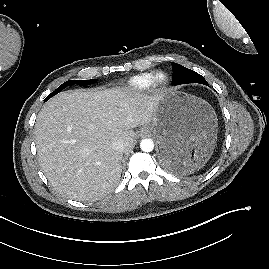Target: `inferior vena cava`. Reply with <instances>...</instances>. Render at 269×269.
Masks as SVG:
<instances>
[{
  "mask_svg": "<svg viewBox=\"0 0 269 269\" xmlns=\"http://www.w3.org/2000/svg\"><path fill=\"white\" fill-rule=\"evenodd\" d=\"M112 148L118 151H123L124 149V143L122 140H115L112 142Z\"/></svg>",
  "mask_w": 269,
  "mask_h": 269,
  "instance_id": "inferior-vena-cava-1",
  "label": "inferior vena cava"
}]
</instances>
